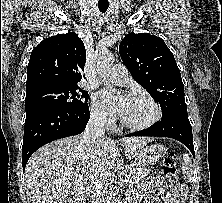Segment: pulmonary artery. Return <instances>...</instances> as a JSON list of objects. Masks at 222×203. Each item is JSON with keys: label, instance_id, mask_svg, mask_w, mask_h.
Here are the masks:
<instances>
[{"label": "pulmonary artery", "instance_id": "pulmonary-artery-1", "mask_svg": "<svg viewBox=\"0 0 222 203\" xmlns=\"http://www.w3.org/2000/svg\"><path fill=\"white\" fill-rule=\"evenodd\" d=\"M108 79L117 85L126 84L128 82V71L126 67L122 64L114 65L108 73Z\"/></svg>", "mask_w": 222, "mask_h": 203}]
</instances>
